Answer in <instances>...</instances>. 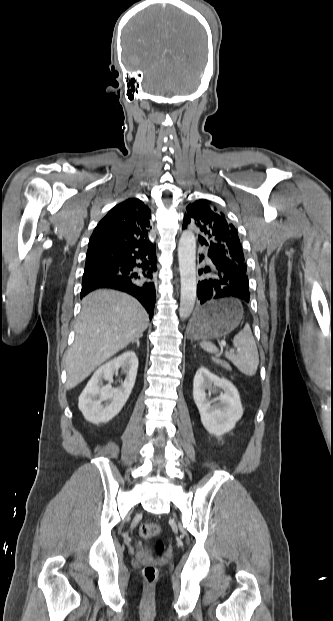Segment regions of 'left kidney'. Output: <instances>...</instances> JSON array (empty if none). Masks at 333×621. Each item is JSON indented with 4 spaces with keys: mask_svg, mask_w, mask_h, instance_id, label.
Listing matches in <instances>:
<instances>
[{
    "mask_svg": "<svg viewBox=\"0 0 333 621\" xmlns=\"http://www.w3.org/2000/svg\"><path fill=\"white\" fill-rule=\"evenodd\" d=\"M223 392L216 398H207L206 391ZM193 399L199 410L205 429L216 436L231 431L243 415L238 390L225 378H219L207 368L198 369L193 380Z\"/></svg>",
    "mask_w": 333,
    "mask_h": 621,
    "instance_id": "1",
    "label": "left kidney"
}]
</instances>
